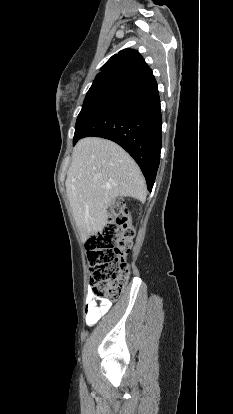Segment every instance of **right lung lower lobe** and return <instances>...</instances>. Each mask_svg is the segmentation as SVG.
<instances>
[{
	"mask_svg": "<svg viewBox=\"0 0 233 414\" xmlns=\"http://www.w3.org/2000/svg\"><path fill=\"white\" fill-rule=\"evenodd\" d=\"M161 126L157 82L150 74L91 109L80 123L73 145L87 136L116 142L137 162L151 191L159 166Z\"/></svg>",
	"mask_w": 233,
	"mask_h": 414,
	"instance_id": "98d812e1",
	"label": "right lung lower lobe"
}]
</instances>
